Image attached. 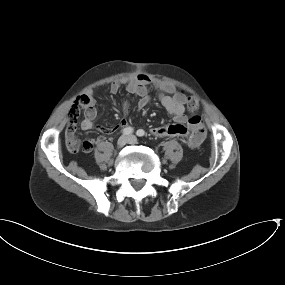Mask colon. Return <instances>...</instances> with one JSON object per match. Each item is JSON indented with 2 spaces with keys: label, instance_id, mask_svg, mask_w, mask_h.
Masks as SVG:
<instances>
[{
  "label": "colon",
  "instance_id": "5ec220e1",
  "mask_svg": "<svg viewBox=\"0 0 285 285\" xmlns=\"http://www.w3.org/2000/svg\"><path fill=\"white\" fill-rule=\"evenodd\" d=\"M91 97L87 94L79 95L73 102L70 110H69V118L71 120V124L75 123L81 116L82 113L91 105ZM188 109L192 113H196L198 111V105L194 98H190L188 101ZM72 125L69 126L71 129ZM74 138V137H73ZM74 140L77 143H80L76 138Z\"/></svg>",
  "mask_w": 285,
  "mask_h": 285
}]
</instances>
